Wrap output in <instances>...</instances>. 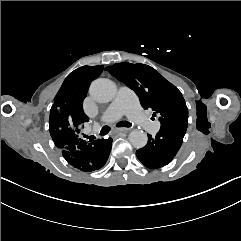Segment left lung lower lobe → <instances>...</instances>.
Instances as JSON below:
<instances>
[{"label":"left lung lower lobe","mask_w":241,"mask_h":241,"mask_svg":"<svg viewBox=\"0 0 241 241\" xmlns=\"http://www.w3.org/2000/svg\"><path fill=\"white\" fill-rule=\"evenodd\" d=\"M188 124L161 125L153 138L148 135V143L136 151L137 158L148 168L155 169L169 164L183 142Z\"/></svg>","instance_id":"0a47b994"}]
</instances>
